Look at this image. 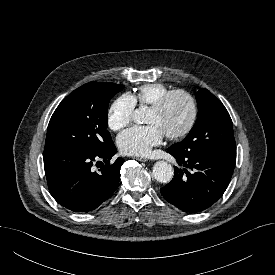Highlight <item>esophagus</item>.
I'll use <instances>...</instances> for the list:
<instances>
[{
  "label": "esophagus",
  "mask_w": 275,
  "mask_h": 275,
  "mask_svg": "<svg viewBox=\"0 0 275 275\" xmlns=\"http://www.w3.org/2000/svg\"><path fill=\"white\" fill-rule=\"evenodd\" d=\"M136 159H137L138 161H142V162L148 161V158H146V157H136Z\"/></svg>",
  "instance_id": "obj_1"
}]
</instances>
